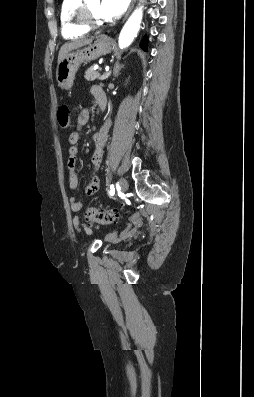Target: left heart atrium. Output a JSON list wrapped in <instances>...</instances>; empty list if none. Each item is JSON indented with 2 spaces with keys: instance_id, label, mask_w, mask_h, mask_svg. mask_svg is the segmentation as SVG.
Returning <instances> with one entry per match:
<instances>
[{
  "instance_id": "left-heart-atrium-1",
  "label": "left heart atrium",
  "mask_w": 254,
  "mask_h": 397,
  "mask_svg": "<svg viewBox=\"0 0 254 397\" xmlns=\"http://www.w3.org/2000/svg\"><path fill=\"white\" fill-rule=\"evenodd\" d=\"M130 0H101L100 13L106 20L120 17L126 10Z\"/></svg>"
}]
</instances>
